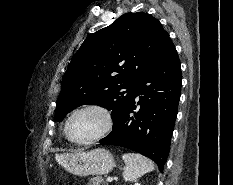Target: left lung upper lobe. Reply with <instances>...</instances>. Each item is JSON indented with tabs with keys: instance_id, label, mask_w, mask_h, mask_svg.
I'll use <instances>...</instances> for the list:
<instances>
[{
	"instance_id": "5c2ea615",
	"label": "left lung upper lobe",
	"mask_w": 233,
	"mask_h": 185,
	"mask_svg": "<svg viewBox=\"0 0 233 185\" xmlns=\"http://www.w3.org/2000/svg\"><path fill=\"white\" fill-rule=\"evenodd\" d=\"M152 15L126 13L91 34L64 74L55 119L84 104L112 110L113 127L134 99L136 83L169 40Z\"/></svg>"
}]
</instances>
